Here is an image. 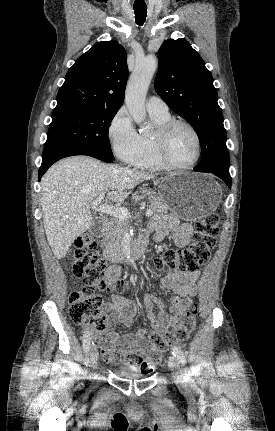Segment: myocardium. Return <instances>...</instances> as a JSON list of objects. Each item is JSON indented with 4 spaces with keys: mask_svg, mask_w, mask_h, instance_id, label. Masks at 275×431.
<instances>
[{
    "mask_svg": "<svg viewBox=\"0 0 275 431\" xmlns=\"http://www.w3.org/2000/svg\"><path fill=\"white\" fill-rule=\"evenodd\" d=\"M178 126H184L187 129H189L196 141L195 158L190 163L184 164V165L173 162L168 152L170 136L173 130ZM154 143H155V150H156L158 159L166 168H169V169H176V170L190 169L194 167L201 158V154H202L201 137L198 131L196 130V128L191 123L185 120L170 119L164 124H162L154 134Z\"/></svg>",
    "mask_w": 275,
    "mask_h": 431,
    "instance_id": "myocardium-1",
    "label": "myocardium"
}]
</instances>
